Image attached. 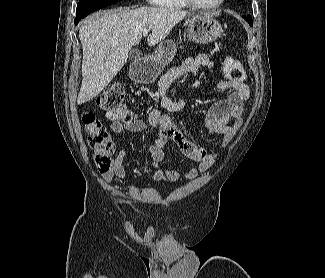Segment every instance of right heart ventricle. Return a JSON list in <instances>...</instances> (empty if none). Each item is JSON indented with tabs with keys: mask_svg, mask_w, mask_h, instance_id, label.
<instances>
[{
	"mask_svg": "<svg viewBox=\"0 0 325 278\" xmlns=\"http://www.w3.org/2000/svg\"><path fill=\"white\" fill-rule=\"evenodd\" d=\"M152 3L159 7L172 9H184L189 7L185 0H152Z\"/></svg>",
	"mask_w": 325,
	"mask_h": 278,
	"instance_id": "obj_1",
	"label": "right heart ventricle"
}]
</instances>
